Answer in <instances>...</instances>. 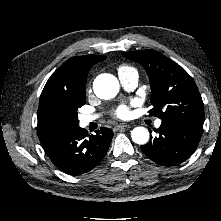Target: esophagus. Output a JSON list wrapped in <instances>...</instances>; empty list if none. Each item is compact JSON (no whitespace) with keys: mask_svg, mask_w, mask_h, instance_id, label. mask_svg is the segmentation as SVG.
<instances>
[{"mask_svg":"<svg viewBox=\"0 0 221 221\" xmlns=\"http://www.w3.org/2000/svg\"><path fill=\"white\" fill-rule=\"evenodd\" d=\"M131 126L130 125H127V124H118L114 127L115 130H123V129H127V128H130Z\"/></svg>","mask_w":221,"mask_h":221,"instance_id":"obj_1","label":"esophagus"}]
</instances>
